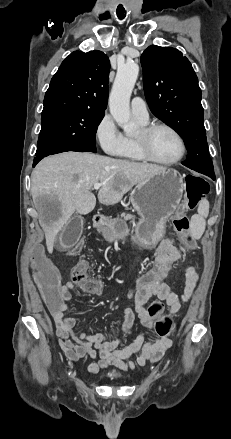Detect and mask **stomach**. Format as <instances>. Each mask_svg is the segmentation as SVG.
Returning a JSON list of instances; mask_svg holds the SVG:
<instances>
[{
	"instance_id": "0dacf381",
	"label": "stomach",
	"mask_w": 231,
	"mask_h": 439,
	"mask_svg": "<svg viewBox=\"0 0 231 439\" xmlns=\"http://www.w3.org/2000/svg\"><path fill=\"white\" fill-rule=\"evenodd\" d=\"M183 177L174 169L162 170L139 182L130 194V201L140 219L135 225V242L153 248L165 233L168 218L177 209L183 194ZM104 238L113 242L129 233L121 219H110L101 227Z\"/></svg>"
}]
</instances>
